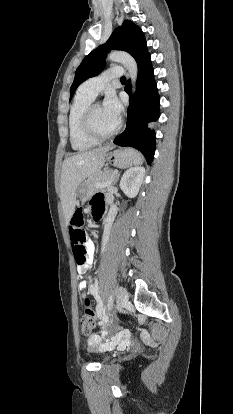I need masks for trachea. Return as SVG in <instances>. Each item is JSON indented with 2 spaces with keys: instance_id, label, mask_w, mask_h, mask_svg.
<instances>
[{
  "instance_id": "trachea-1",
  "label": "trachea",
  "mask_w": 233,
  "mask_h": 414,
  "mask_svg": "<svg viewBox=\"0 0 233 414\" xmlns=\"http://www.w3.org/2000/svg\"><path fill=\"white\" fill-rule=\"evenodd\" d=\"M121 82H126V78L123 76V77H121Z\"/></svg>"
}]
</instances>
